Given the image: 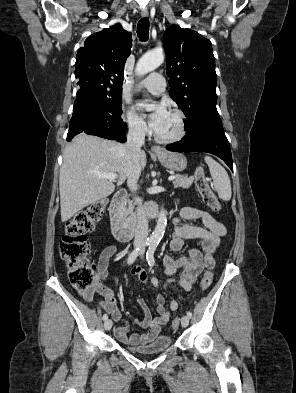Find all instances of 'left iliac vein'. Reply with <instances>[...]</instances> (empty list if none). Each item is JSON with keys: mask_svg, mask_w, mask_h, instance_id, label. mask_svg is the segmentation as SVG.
Returning <instances> with one entry per match:
<instances>
[{"mask_svg": "<svg viewBox=\"0 0 296 393\" xmlns=\"http://www.w3.org/2000/svg\"><path fill=\"white\" fill-rule=\"evenodd\" d=\"M143 253H144V252L141 251V253H140V256H141V257L143 256ZM188 324H189V317H188V316H183L182 319H181V325H182L183 327H187Z\"/></svg>", "mask_w": 296, "mask_h": 393, "instance_id": "4c4485c4", "label": "left iliac vein"}]
</instances>
